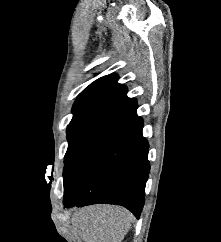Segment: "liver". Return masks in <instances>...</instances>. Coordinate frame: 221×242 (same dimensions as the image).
I'll return each instance as SVG.
<instances>
[{"instance_id":"liver-1","label":"liver","mask_w":221,"mask_h":242,"mask_svg":"<svg viewBox=\"0 0 221 242\" xmlns=\"http://www.w3.org/2000/svg\"><path fill=\"white\" fill-rule=\"evenodd\" d=\"M132 221L121 207L96 205L80 209L72 217V232L84 242H122Z\"/></svg>"}]
</instances>
